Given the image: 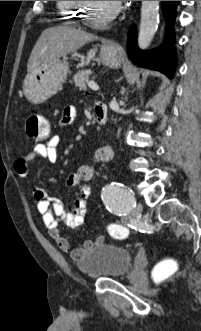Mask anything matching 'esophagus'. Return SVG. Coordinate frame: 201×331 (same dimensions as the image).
<instances>
[{"label":"esophagus","instance_id":"34e87169","mask_svg":"<svg viewBox=\"0 0 201 331\" xmlns=\"http://www.w3.org/2000/svg\"><path fill=\"white\" fill-rule=\"evenodd\" d=\"M107 46L114 50H121V46L118 43L113 42V41H108Z\"/></svg>","mask_w":201,"mask_h":331}]
</instances>
